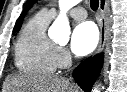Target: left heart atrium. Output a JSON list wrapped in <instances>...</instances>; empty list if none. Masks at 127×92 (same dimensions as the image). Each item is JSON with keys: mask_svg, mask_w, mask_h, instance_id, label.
I'll return each instance as SVG.
<instances>
[{"mask_svg": "<svg viewBox=\"0 0 127 92\" xmlns=\"http://www.w3.org/2000/svg\"><path fill=\"white\" fill-rule=\"evenodd\" d=\"M99 34L92 22L79 23L73 30L71 38L72 51L78 56L91 53L97 46Z\"/></svg>", "mask_w": 127, "mask_h": 92, "instance_id": "1", "label": "left heart atrium"}]
</instances>
